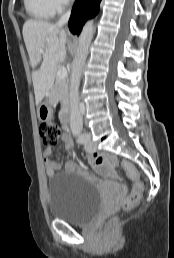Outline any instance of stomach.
<instances>
[{
  "mask_svg": "<svg viewBox=\"0 0 174 258\" xmlns=\"http://www.w3.org/2000/svg\"><path fill=\"white\" fill-rule=\"evenodd\" d=\"M51 97L52 93L49 92L44 101L38 106L37 114L40 121H49L53 116Z\"/></svg>",
  "mask_w": 174,
  "mask_h": 258,
  "instance_id": "1",
  "label": "stomach"
}]
</instances>
